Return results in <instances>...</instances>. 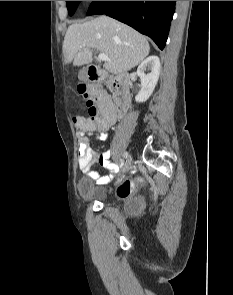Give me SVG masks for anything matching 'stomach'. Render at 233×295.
<instances>
[{"mask_svg": "<svg viewBox=\"0 0 233 295\" xmlns=\"http://www.w3.org/2000/svg\"><path fill=\"white\" fill-rule=\"evenodd\" d=\"M79 78L81 80H86L87 79L84 70H82V71L79 72Z\"/></svg>", "mask_w": 233, "mask_h": 295, "instance_id": "1", "label": "stomach"}]
</instances>
